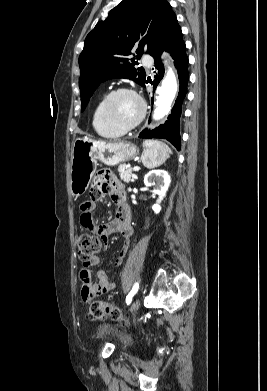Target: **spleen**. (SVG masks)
<instances>
[{"label": "spleen", "instance_id": "3e777b00", "mask_svg": "<svg viewBox=\"0 0 267 391\" xmlns=\"http://www.w3.org/2000/svg\"><path fill=\"white\" fill-rule=\"evenodd\" d=\"M170 154L172 151L165 143L158 140H145L141 161L146 168L152 169L162 165Z\"/></svg>", "mask_w": 267, "mask_h": 391}]
</instances>
